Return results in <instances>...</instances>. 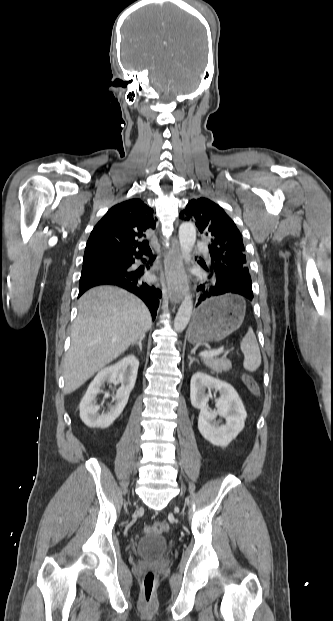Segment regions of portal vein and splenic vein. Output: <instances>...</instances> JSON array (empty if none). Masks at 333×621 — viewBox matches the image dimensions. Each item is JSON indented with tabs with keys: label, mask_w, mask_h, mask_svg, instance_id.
Listing matches in <instances>:
<instances>
[{
	"label": "portal vein and splenic vein",
	"mask_w": 333,
	"mask_h": 621,
	"mask_svg": "<svg viewBox=\"0 0 333 621\" xmlns=\"http://www.w3.org/2000/svg\"><path fill=\"white\" fill-rule=\"evenodd\" d=\"M229 351L224 350V348H218L216 350H209V351H202L200 352L199 356L202 358L205 357H214L217 356L219 354L225 353L227 354Z\"/></svg>",
	"instance_id": "1"
}]
</instances>
